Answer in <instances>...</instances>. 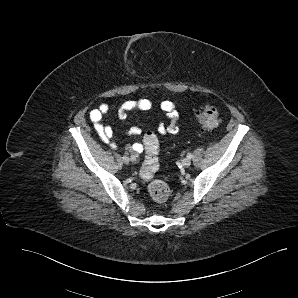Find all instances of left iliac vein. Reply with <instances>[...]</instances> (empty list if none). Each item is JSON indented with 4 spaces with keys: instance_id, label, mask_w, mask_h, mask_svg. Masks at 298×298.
Listing matches in <instances>:
<instances>
[{
    "instance_id": "obj_1",
    "label": "left iliac vein",
    "mask_w": 298,
    "mask_h": 298,
    "mask_svg": "<svg viewBox=\"0 0 298 298\" xmlns=\"http://www.w3.org/2000/svg\"><path fill=\"white\" fill-rule=\"evenodd\" d=\"M182 165L184 166V167H189L190 165H191V159L190 158H184L183 160H182Z\"/></svg>"
}]
</instances>
